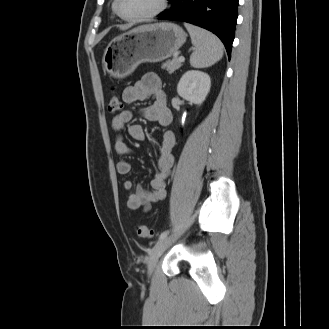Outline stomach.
<instances>
[{
  "label": "stomach",
  "mask_w": 329,
  "mask_h": 329,
  "mask_svg": "<svg viewBox=\"0 0 329 329\" xmlns=\"http://www.w3.org/2000/svg\"><path fill=\"white\" fill-rule=\"evenodd\" d=\"M185 41L186 33L174 23L136 27L108 44L102 59L104 69L115 78L126 77L141 63H156L171 57Z\"/></svg>",
  "instance_id": "1"
}]
</instances>
